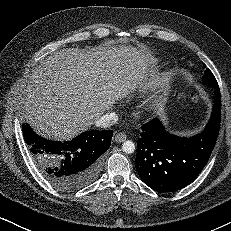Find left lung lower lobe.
Here are the masks:
<instances>
[{
    "instance_id": "obj_1",
    "label": "left lung lower lobe",
    "mask_w": 231,
    "mask_h": 231,
    "mask_svg": "<svg viewBox=\"0 0 231 231\" xmlns=\"http://www.w3.org/2000/svg\"><path fill=\"white\" fill-rule=\"evenodd\" d=\"M221 120V96L215 90L214 105L204 130L193 137L167 132L158 119L142 126L137 143L136 170L157 192H173L190 184L202 171L215 146Z\"/></svg>"
}]
</instances>
